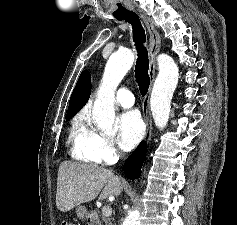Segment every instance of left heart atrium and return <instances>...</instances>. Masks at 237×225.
Listing matches in <instances>:
<instances>
[{
	"label": "left heart atrium",
	"instance_id": "1",
	"mask_svg": "<svg viewBox=\"0 0 237 225\" xmlns=\"http://www.w3.org/2000/svg\"><path fill=\"white\" fill-rule=\"evenodd\" d=\"M143 133L144 126L138 112L128 111L118 117V143L123 150L133 149Z\"/></svg>",
	"mask_w": 237,
	"mask_h": 225
}]
</instances>
